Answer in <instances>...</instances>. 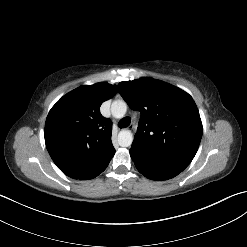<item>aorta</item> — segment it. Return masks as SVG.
I'll return each mask as SVG.
<instances>
[{
  "label": "aorta",
  "instance_id": "762f6f07",
  "mask_svg": "<svg viewBox=\"0 0 247 247\" xmlns=\"http://www.w3.org/2000/svg\"><path fill=\"white\" fill-rule=\"evenodd\" d=\"M127 111V104L123 100H115L111 105V113L114 118L121 119ZM121 147H129L133 142V134L130 130L123 129L119 132L117 138Z\"/></svg>",
  "mask_w": 247,
  "mask_h": 247
}]
</instances>
